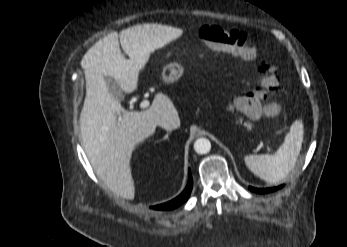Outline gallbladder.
<instances>
[{
  "label": "gallbladder",
  "mask_w": 347,
  "mask_h": 247,
  "mask_svg": "<svg viewBox=\"0 0 347 247\" xmlns=\"http://www.w3.org/2000/svg\"><path fill=\"white\" fill-rule=\"evenodd\" d=\"M109 92L117 99L123 98V93L119 85L110 77L105 78Z\"/></svg>",
  "instance_id": "1"
}]
</instances>
